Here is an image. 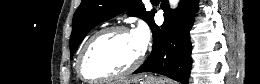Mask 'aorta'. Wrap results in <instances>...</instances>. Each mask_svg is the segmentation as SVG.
Masks as SVG:
<instances>
[{"instance_id": "1", "label": "aorta", "mask_w": 260, "mask_h": 84, "mask_svg": "<svg viewBox=\"0 0 260 84\" xmlns=\"http://www.w3.org/2000/svg\"><path fill=\"white\" fill-rule=\"evenodd\" d=\"M169 3L171 8H176L178 6L179 0H170Z\"/></svg>"}]
</instances>
